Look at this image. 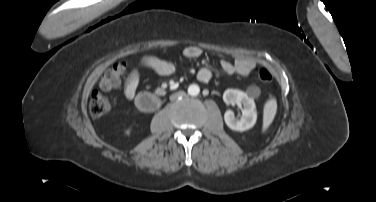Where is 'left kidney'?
I'll return each mask as SVG.
<instances>
[{"instance_id": "obj_1", "label": "left kidney", "mask_w": 376, "mask_h": 202, "mask_svg": "<svg viewBox=\"0 0 376 202\" xmlns=\"http://www.w3.org/2000/svg\"><path fill=\"white\" fill-rule=\"evenodd\" d=\"M223 100L227 104L242 105V118H236L233 111L227 110L224 114L226 125L235 131H245L252 128L257 120L256 105L252 98L240 90L227 89L223 94Z\"/></svg>"}]
</instances>
